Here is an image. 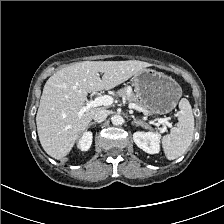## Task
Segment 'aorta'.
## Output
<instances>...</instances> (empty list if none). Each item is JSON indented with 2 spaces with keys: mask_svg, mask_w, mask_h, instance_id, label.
<instances>
[{
  "mask_svg": "<svg viewBox=\"0 0 224 224\" xmlns=\"http://www.w3.org/2000/svg\"><path fill=\"white\" fill-rule=\"evenodd\" d=\"M111 122L113 125L118 126V125H122L124 122V119L121 115H114L111 118Z\"/></svg>",
  "mask_w": 224,
  "mask_h": 224,
  "instance_id": "aorta-1",
  "label": "aorta"
}]
</instances>
